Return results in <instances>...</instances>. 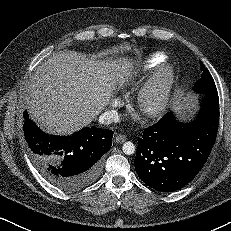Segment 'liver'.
I'll list each match as a JSON object with an SVG mask.
<instances>
[{"label":"liver","mask_w":231,"mask_h":231,"mask_svg":"<svg viewBox=\"0 0 231 231\" xmlns=\"http://www.w3.org/2000/svg\"><path fill=\"white\" fill-rule=\"evenodd\" d=\"M62 51L35 70L27 89L30 117L44 130L71 134L96 118L109 104L117 84L131 77L127 59Z\"/></svg>","instance_id":"1"}]
</instances>
